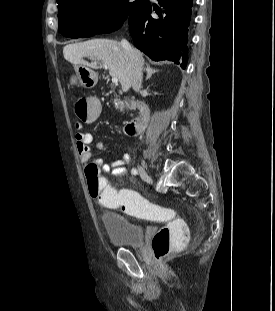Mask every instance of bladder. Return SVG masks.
Wrapping results in <instances>:
<instances>
[{
    "label": "bladder",
    "mask_w": 275,
    "mask_h": 311,
    "mask_svg": "<svg viewBox=\"0 0 275 311\" xmlns=\"http://www.w3.org/2000/svg\"><path fill=\"white\" fill-rule=\"evenodd\" d=\"M102 227L113 246L137 248L143 242L141 226L116 211H105L100 215Z\"/></svg>",
    "instance_id": "obj_1"
}]
</instances>
